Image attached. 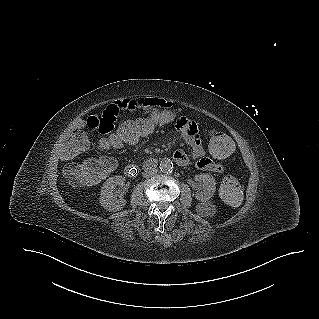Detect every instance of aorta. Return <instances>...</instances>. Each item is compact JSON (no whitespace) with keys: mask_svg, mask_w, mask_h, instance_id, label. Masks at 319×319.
<instances>
[{"mask_svg":"<svg viewBox=\"0 0 319 319\" xmlns=\"http://www.w3.org/2000/svg\"><path fill=\"white\" fill-rule=\"evenodd\" d=\"M159 168L161 170L162 173H172L173 171V163L170 159H163L160 162Z\"/></svg>","mask_w":319,"mask_h":319,"instance_id":"aorta-1","label":"aorta"}]
</instances>
